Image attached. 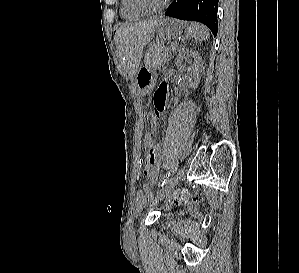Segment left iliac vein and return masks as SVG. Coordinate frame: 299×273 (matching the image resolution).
<instances>
[{"mask_svg": "<svg viewBox=\"0 0 299 273\" xmlns=\"http://www.w3.org/2000/svg\"><path fill=\"white\" fill-rule=\"evenodd\" d=\"M184 176V169H179L176 175L170 180V182L160 191L158 192L156 199L153 203H157L162 197L166 195V193L171 190L174 186H176Z\"/></svg>", "mask_w": 299, "mask_h": 273, "instance_id": "1", "label": "left iliac vein"}]
</instances>
